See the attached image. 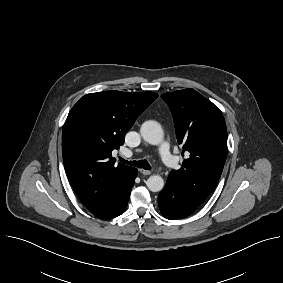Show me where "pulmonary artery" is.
Here are the masks:
<instances>
[{
    "label": "pulmonary artery",
    "mask_w": 283,
    "mask_h": 283,
    "mask_svg": "<svg viewBox=\"0 0 283 283\" xmlns=\"http://www.w3.org/2000/svg\"><path fill=\"white\" fill-rule=\"evenodd\" d=\"M160 157L163 163L168 167H173L176 163L175 157L171 154L169 150V145L167 143H163L159 149ZM127 157L132 156L131 152H127L124 154Z\"/></svg>",
    "instance_id": "pulmonary-artery-1"
}]
</instances>
